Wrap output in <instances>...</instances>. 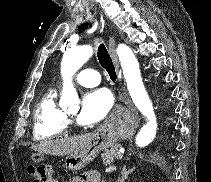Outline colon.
Here are the masks:
<instances>
[{
	"mask_svg": "<svg viewBox=\"0 0 211 182\" xmlns=\"http://www.w3.org/2000/svg\"><path fill=\"white\" fill-rule=\"evenodd\" d=\"M29 171L37 182H55L53 170L50 166L31 167Z\"/></svg>",
	"mask_w": 211,
	"mask_h": 182,
	"instance_id": "1",
	"label": "colon"
}]
</instances>
